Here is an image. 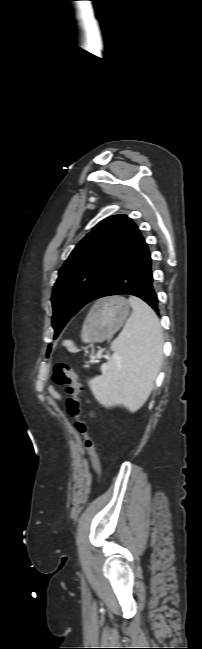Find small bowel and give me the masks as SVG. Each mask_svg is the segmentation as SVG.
Here are the masks:
<instances>
[{"instance_id": "small-bowel-1", "label": "small bowel", "mask_w": 202, "mask_h": 649, "mask_svg": "<svg viewBox=\"0 0 202 649\" xmlns=\"http://www.w3.org/2000/svg\"><path fill=\"white\" fill-rule=\"evenodd\" d=\"M50 394L53 397V399L56 400L57 402L60 403L62 401L61 395L53 386L50 387Z\"/></svg>"}]
</instances>
